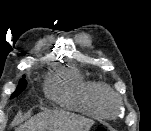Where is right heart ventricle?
Masks as SVG:
<instances>
[{"mask_svg":"<svg viewBox=\"0 0 151 131\" xmlns=\"http://www.w3.org/2000/svg\"><path fill=\"white\" fill-rule=\"evenodd\" d=\"M107 90L103 84L87 78L76 68L60 70L45 84V93L52 100L98 118L106 116L101 98Z\"/></svg>","mask_w":151,"mask_h":131,"instance_id":"obj_1","label":"right heart ventricle"}]
</instances>
